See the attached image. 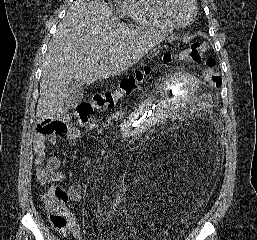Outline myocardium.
I'll return each instance as SVG.
<instances>
[{
  "label": "myocardium",
  "mask_w": 257,
  "mask_h": 240,
  "mask_svg": "<svg viewBox=\"0 0 257 240\" xmlns=\"http://www.w3.org/2000/svg\"><path fill=\"white\" fill-rule=\"evenodd\" d=\"M158 1H159V10H160V13H161L162 17L173 28H176V29L186 28L194 22V20L196 18V15H197V4H196L195 0H188L190 2L191 6H192V15H191L190 20L186 23H183V24L177 23L170 16V14L168 12V2H169V0H158Z\"/></svg>",
  "instance_id": "f54148a6"
}]
</instances>
